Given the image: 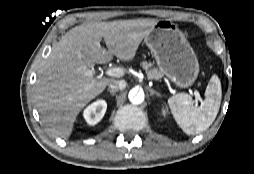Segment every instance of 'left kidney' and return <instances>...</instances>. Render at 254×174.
Masks as SVG:
<instances>
[{
    "instance_id": "5707ae66",
    "label": "left kidney",
    "mask_w": 254,
    "mask_h": 174,
    "mask_svg": "<svg viewBox=\"0 0 254 174\" xmlns=\"http://www.w3.org/2000/svg\"><path fill=\"white\" fill-rule=\"evenodd\" d=\"M162 114H163V116H166L167 111H166V109H165V108H163V109H162Z\"/></svg>"
}]
</instances>
